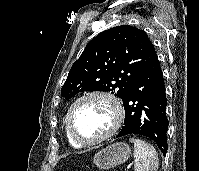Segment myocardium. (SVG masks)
<instances>
[{
    "label": "myocardium",
    "instance_id": "1",
    "mask_svg": "<svg viewBox=\"0 0 199 171\" xmlns=\"http://www.w3.org/2000/svg\"><path fill=\"white\" fill-rule=\"evenodd\" d=\"M89 98H101L105 100L106 102H108L111 105L113 113H114V122L111 128L108 130V132H106L104 135L94 138V139H83L76 134L73 128L72 114H73L74 109L79 103ZM124 116H125L124 107L122 105V102L116 95L107 91H103V90H91V91L83 93L72 102V104L70 105L67 111L65 123H66L67 131L69 135L77 143L81 144L82 146H89V145L98 144L112 137L121 127L124 121Z\"/></svg>",
    "mask_w": 199,
    "mask_h": 171
}]
</instances>
